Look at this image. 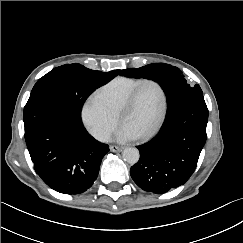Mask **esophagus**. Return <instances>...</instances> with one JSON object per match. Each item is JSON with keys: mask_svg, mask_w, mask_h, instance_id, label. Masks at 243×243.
Returning a JSON list of instances; mask_svg holds the SVG:
<instances>
[{"mask_svg": "<svg viewBox=\"0 0 243 243\" xmlns=\"http://www.w3.org/2000/svg\"><path fill=\"white\" fill-rule=\"evenodd\" d=\"M110 150L112 152H121L123 150V147L112 145V146H110Z\"/></svg>", "mask_w": 243, "mask_h": 243, "instance_id": "obj_1", "label": "esophagus"}]
</instances>
